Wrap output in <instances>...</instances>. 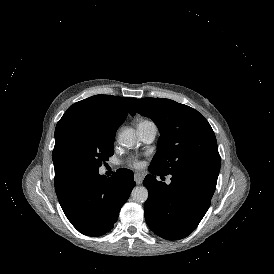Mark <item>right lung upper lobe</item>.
Returning a JSON list of instances; mask_svg holds the SVG:
<instances>
[{"label":"right lung upper lobe","instance_id":"obj_1","mask_svg":"<svg viewBox=\"0 0 274 274\" xmlns=\"http://www.w3.org/2000/svg\"><path fill=\"white\" fill-rule=\"evenodd\" d=\"M136 98H126L110 95H95L76 102L64 113L55 129V147L53 150V163L55 168V184L67 178V175L57 161L55 154L60 139L65 131L79 122L89 119H120L124 121L129 107Z\"/></svg>","mask_w":274,"mask_h":274}]
</instances>
